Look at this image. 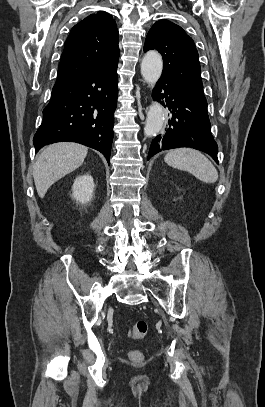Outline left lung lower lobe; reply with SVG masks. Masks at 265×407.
<instances>
[{
	"instance_id": "1",
	"label": "left lung lower lobe",
	"mask_w": 265,
	"mask_h": 407,
	"mask_svg": "<svg viewBox=\"0 0 265 407\" xmlns=\"http://www.w3.org/2000/svg\"><path fill=\"white\" fill-rule=\"evenodd\" d=\"M153 97L162 100L163 105L166 102L171 118L165 135L152 141L148 159L162 150L191 147L208 153L218 163V146L210 131L207 103L165 77L158 80Z\"/></svg>"
}]
</instances>
